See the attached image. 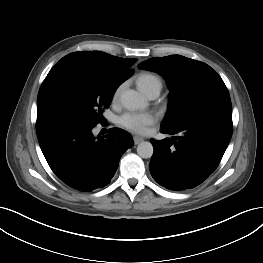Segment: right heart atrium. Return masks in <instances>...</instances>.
<instances>
[{"label":"right heart atrium","instance_id":"obj_1","mask_svg":"<svg viewBox=\"0 0 263 263\" xmlns=\"http://www.w3.org/2000/svg\"><path fill=\"white\" fill-rule=\"evenodd\" d=\"M120 92H121V87L117 88L114 92V95H113V98L114 99H117L120 95Z\"/></svg>","mask_w":263,"mask_h":263}]
</instances>
